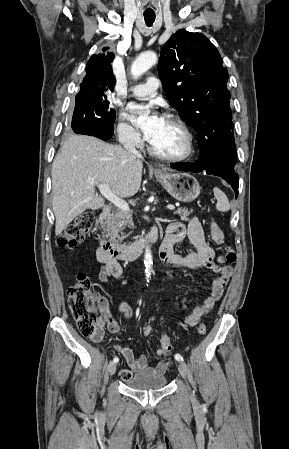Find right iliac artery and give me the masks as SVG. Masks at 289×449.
I'll return each instance as SVG.
<instances>
[{
    "label": "right iliac artery",
    "mask_w": 289,
    "mask_h": 449,
    "mask_svg": "<svg viewBox=\"0 0 289 449\" xmlns=\"http://www.w3.org/2000/svg\"><path fill=\"white\" fill-rule=\"evenodd\" d=\"M118 361H119L118 357H115V358L113 359V362H114V363H117Z\"/></svg>",
    "instance_id": "82829eb1"
}]
</instances>
